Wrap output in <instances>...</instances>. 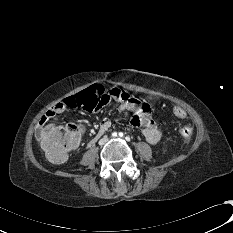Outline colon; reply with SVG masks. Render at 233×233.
<instances>
[{"label": "colon", "instance_id": "1", "mask_svg": "<svg viewBox=\"0 0 233 233\" xmlns=\"http://www.w3.org/2000/svg\"><path fill=\"white\" fill-rule=\"evenodd\" d=\"M105 87L96 84L89 89L65 99L66 108H79L87 111H93V106L105 94ZM143 103V102H142ZM173 114L180 120L187 121L189 116L185 109L176 105L173 108ZM193 134V128L190 125H184L180 129V135L183 138H190ZM82 132L77 124L69 123L64 126H49L39 131L37 136L43 148V151L49 161L55 164L64 162L76 144L81 138Z\"/></svg>", "mask_w": 233, "mask_h": 233}]
</instances>
